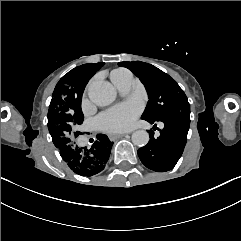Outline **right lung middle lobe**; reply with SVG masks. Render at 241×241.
I'll return each instance as SVG.
<instances>
[{
    "instance_id": "1",
    "label": "right lung middle lobe",
    "mask_w": 241,
    "mask_h": 241,
    "mask_svg": "<svg viewBox=\"0 0 241 241\" xmlns=\"http://www.w3.org/2000/svg\"><path fill=\"white\" fill-rule=\"evenodd\" d=\"M104 63L84 64L65 74L57 83L48 111V129L57 148L74 145L83 123L82 94L89 79Z\"/></svg>"
}]
</instances>
